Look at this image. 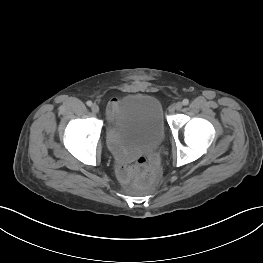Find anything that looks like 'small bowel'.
Returning <instances> with one entry per match:
<instances>
[{
  "mask_svg": "<svg viewBox=\"0 0 263 263\" xmlns=\"http://www.w3.org/2000/svg\"><path fill=\"white\" fill-rule=\"evenodd\" d=\"M118 107V100L112 99L108 105V114L109 117L112 118L117 110ZM112 146L116 154V158L118 161V175L120 179L124 183H128L134 176L137 175V169L136 164L135 165H129L130 162H132L135 157L127 154L126 152L122 151L114 140H112ZM139 160V159H138Z\"/></svg>",
  "mask_w": 263,
  "mask_h": 263,
  "instance_id": "c3829d8e",
  "label": "small bowel"
}]
</instances>
